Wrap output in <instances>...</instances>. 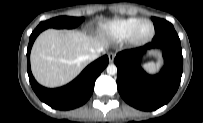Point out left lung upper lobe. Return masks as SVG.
<instances>
[{"label":"left lung upper lobe","mask_w":203,"mask_h":123,"mask_svg":"<svg viewBox=\"0 0 203 123\" xmlns=\"http://www.w3.org/2000/svg\"><path fill=\"white\" fill-rule=\"evenodd\" d=\"M152 20L154 23L156 34L167 29H174L173 25L164 19L152 17Z\"/></svg>","instance_id":"1"}]
</instances>
